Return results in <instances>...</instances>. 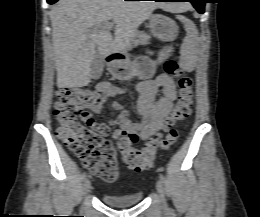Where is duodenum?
Wrapping results in <instances>:
<instances>
[{
	"mask_svg": "<svg viewBox=\"0 0 260 217\" xmlns=\"http://www.w3.org/2000/svg\"><path fill=\"white\" fill-rule=\"evenodd\" d=\"M123 59V54L116 48L109 50L107 54V62L110 66V70L113 74H117L123 70L121 65V60Z\"/></svg>",
	"mask_w": 260,
	"mask_h": 217,
	"instance_id": "1",
	"label": "duodenum"
}]
</instances>
